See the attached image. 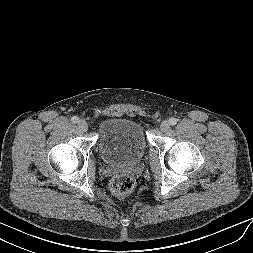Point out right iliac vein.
<instances>
[{
	"mask_svg": "<svg viewBox=\"0 0 253 253\" xmlns=\"http://www.w3.org/2000/svg\"><path fill=\"white\" fill-rule=\"evenodd\" d=\"M77 126L83 132L88 130V124L85 120H79Z\"/></svg>",
	"mask_w": 253,
	"mask_h": 253,
	"instance_id": "right-iliac-vein-1",
	"label": "right iliac vein"
}]
</instances>
